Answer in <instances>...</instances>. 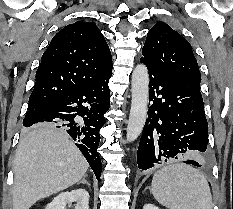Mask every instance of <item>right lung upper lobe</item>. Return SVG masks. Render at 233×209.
Here are the masks:
<instances>
[{
  "label": "right lung upper lobe",
  "mask_w": 233,
  "mask_h": 209,
  "mask_svg": "<svg viewBox=\"0 0 233 209\" xmlns=\"http://www.w3.org/2000/svg\"><path fill=\"white\" fill-rule=\"evenodd\" d=\"M110 73L112 57L101 31L92 22L77 21L61 29L42 55L29 103L43 105Z\"/></svg>",
  "instance_id": "cb5924a9"
}]
</instances>
